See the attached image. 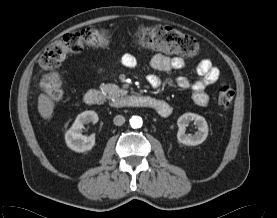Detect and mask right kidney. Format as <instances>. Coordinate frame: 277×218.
<instances>
[{"label": "right kidney", "mask_w": 277, "mask_h": 218, "mask_svg": "<svg viewBox=\"0 0 277 218\" xmlns=\"http://www.w3.org/2000/svg\"><path fill=\"white\" fill-rule=\"evenodd\" d=\"M99 120L95 111H84L77 116L70 129L65 134L67 146L76 152L82 153L91 150L95 145V135L86 136L82 134L84 124L97 123Z\"/></svg>", "instance_id": "ca27d5eb"}]
</instances>
